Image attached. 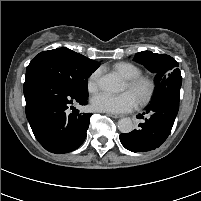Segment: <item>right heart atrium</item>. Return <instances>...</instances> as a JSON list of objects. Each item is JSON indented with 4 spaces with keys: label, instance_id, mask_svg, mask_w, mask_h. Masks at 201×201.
Here are the masks:
<instances>
[{
    "label": "right heart atrium",
    "instance_id": "d8ad5b80",
    "mask_svg": "<svg viewBox=\"0 0 201 201\" xmlns=\"http://www.w3.org/2000/svg\"><path fill=\"white\" fill-rule=\"evenodd\" d=\"M99 74V70H96L88 78L87 89L90 93H94L98 89Z\"/></svg>",
    "mask_w": 201,
    "mask_h": 201
}]
</instances>
